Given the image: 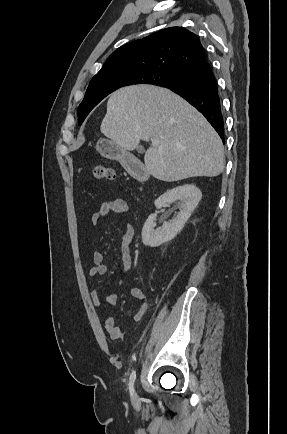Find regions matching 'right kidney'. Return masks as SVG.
Wrapping results in <instances>:
<instances>
[{
    "instance_id": "1",
    "label": "right kidney",
    "mask_w": 287,
    "mask_h": 434,
    "mask_svg": "<svg viewBox=\"0 0 287 434\" xmlns=\"http://www.w3.org/2000/svg\"><path fill=\"white\" fill-rule=\"evenodd\" d=\"M201 198L202 193L194 184L178 186L157 198L154 202L156 208L160 209L166 204L180 201V211L172 221L164 222L163 226L156 230L154 229L156 217L154 214H151L142 229L143 244L150 247H158L175 238L183 229L184 224L191 216V213L194 211Z\"/></svg>"
}]
</instances>
